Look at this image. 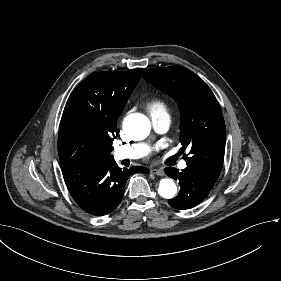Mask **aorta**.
Instances as JSON below:
<instances>
[{"mask_svg": "<svg viewBox=\"0 0 281 281\" xmlns=\"http://www.w3.org/2000/svg\"><path fill=\"white\" fill-rule=\"evenodd\" d=\"M123 127L125 132L135 140L145 139L151 130L149 119L139 113L126 117ZM158 193L163 198L172 199L177 193V187L172 179H162L159 183Z\"/></svg>", "mask_w": 281, "mask_h": 281, "instance_id": "obj_1", "label": "aorta"}]
</instances>
